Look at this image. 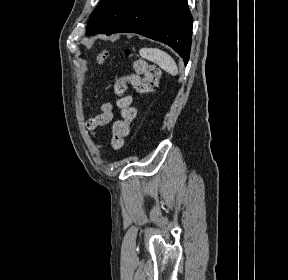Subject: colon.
<instances>
[{
	"mask_svg": "<svg viewBox=\"0 0 288 280\" xmlns=\"http://www.w3.org/2000/svg\"><path fill=\"white\" fill-rule=\"evenodd\" d=\"M130 55V50H125ZM108 56L106 50L98 55V62H103ZM134 73L117 77L113 81V91L118 97L117 106L120 109L122 119L113 125V136L111 145L115 150H121L125 144V138L128 135L130 124L135 118L136 111L132 106V98L127 94L129 85L138 93L147 94L157 89L160 78V69L144 59L137 58L133 60Z\"/></svg>",
	"mask_w": 288,
	"mask_h": 280,
	"instance_id": "1",
	"label": "colon"
}]
</instances>
